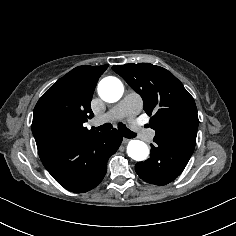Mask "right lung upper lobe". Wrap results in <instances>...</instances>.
Returning a JSON list of instances; mask_svg holds the SVG:
<instances>
[{"instance_id": "right-lung-upper-lobe-1", "label": "right lung upper lobe", "mask_w": 236, "mask_h": 236, "mask_svg": "<svg viewBox=\"0 0 236 236\" xmlns=\"http://www.w3.org/2000/svg\"><path fill=\"white\" fill-rule=\"evenodd\" d=\"M103 66H79L60 78L39 99L32 122L38 153H46L66 141L98 133L83 126L93 117L90 102L97 81L107 69Z\"/></svg>"}]
</instances>
